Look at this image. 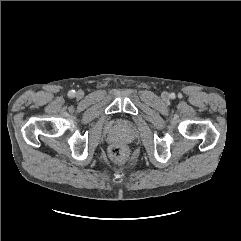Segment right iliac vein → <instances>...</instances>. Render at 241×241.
I'll list each match as a JSON object with an SVG mask.
<instances>
[{
	"mask_svg": "<svg viewBox=\"0 0 241 241\" xmlns=\"http://www.w3.org/2000/svg\"><path fill=\"white\" fill-rule=\"evenodd\" d=\"M77 96H78V97H82V96H83V93H82V92H78V93H77Z\"/></svg>",
	"mask_w": 241,
	"mask_h": 241,
	"instance_id": "63e3f726",
	"label": "right iliac vein"
}]
</instances>
